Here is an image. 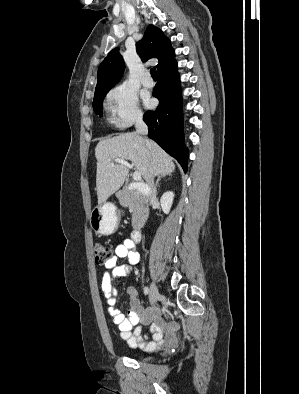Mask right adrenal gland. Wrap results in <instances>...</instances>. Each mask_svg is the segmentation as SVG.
Returning <instances> with one entry per match:
<instances>
[{
	"label": "right adrenal gland",
	"mask_w": 299,
	"mask_h": 394,
	"mask_svg": "<svg viewBox=\"0 0 299 394\" xmlns=\"http://www.w3.org/2000/svg\"><path fill=\"white\" fill-rule=\"evenodd\" d=\"M165 176H166V175H160V176L157 178L156 187H159V182H160L161 179H162L163 177H165ZM167 176L170 177L171 174L169 173V174H167Z\"/></svg>",
	"instance_id": "right-adrenal-gland-1"
}]
</instances>
